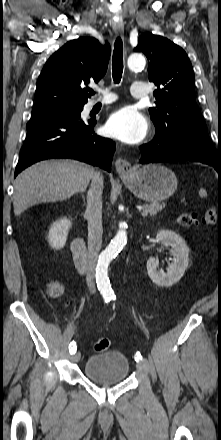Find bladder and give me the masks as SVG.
Masks as SVG:
<instances>
[{"mask_svg": "<svg viewBox=\"0 0 221 440\" xmlns=\"http://www.w3.org/2000/svg\"><path fill=\"white\" fill-rule=\"evenodd\" d=\"M130 370V363L121 351H108L88 358L84 365L85 376L97 383L123 382Z\"/></svg>", "mask_w": 221, "mask_h": 440, "instance_id": "1", "label": "bladder"}]
</instances>
